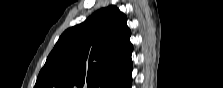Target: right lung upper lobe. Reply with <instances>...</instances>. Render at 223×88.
Instances as JSON below:
<instances>
[{
	"label": "right lung upper lobe",
	"mask_w": 223,
	"mask_h": 88,
	"mask_svg": "<svg viewBox=\"0 0 223 88\" xmlns=\"http://www.w3.org/2000/svg\"><path fill=\"white\" fill-rule=\"evenodd\" d=\"M130 35L117 7L96 11L60 36L35 88H124L132 80Z\"/></svg>",
	"instance_id": "obj_1"
}]
</instances>
